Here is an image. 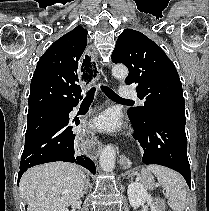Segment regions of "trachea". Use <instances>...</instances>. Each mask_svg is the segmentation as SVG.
Returning a JSON list of instances; mask_svg holds the SVG:
<instances>
[{
    "instance_id": "3493384b",
    "label": "trachea",
    "mask_w": 209,
    "mask_h": 211,
    "mask_svg": "<svg viewBox=\"0 0 209 211\" xmlns=\"http://www.w3.org/2000/svg\"><path fill=\"white\" fill-rule=\"evenodd\" d=\"M103 92L106 94V96L112 100L115 101H126V102H133L132 100L122 99L119 97L112 89H110L107 86H101ZM96 91V88L93 87L85 96L84 101H92L94 99V93Z\"/></svg>"
}]
</instances>
